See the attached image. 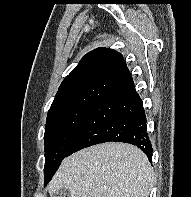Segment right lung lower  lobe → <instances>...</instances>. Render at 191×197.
I'll return each instance as SVG.
<instances>
[{
	"label": "right lung lower lobe",
	"instance_id": "obj_1",
	"mask_svg": "<svg viewBox=\"0 0 191 197\" xmlns=\"http://www.w3.org/2000/svg\"><path fill=\"white\" fill-rule=\"evenodd\" d=\"M143 103L129 80L98 101L81 126L67 156L91 145L117 141L140 148L151 161L152 145Z\"/></svg>",
	"mask_w": 191,
	"mask_h": 197
}]
</instances>
